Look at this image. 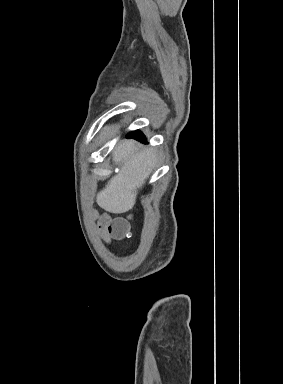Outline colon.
Here are the masks:
<instances>
[{"instance_id":"colon-1","label":"colon","mask_w":283,"mask_h":384,"mask_svg":"<svg viewBox=\"0 0 283 384\" xmlns=\"http://www.w3.org/2000/svg\"><path fill=\"white\" fill-rule=\"evenodd\" d=\"M129 230V223L125 219H117L112 222L110 226L111 234L116 238L124 237Z\"/></svg>"}]
</instances>
